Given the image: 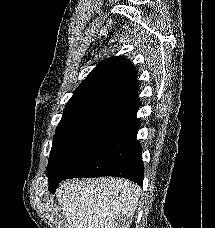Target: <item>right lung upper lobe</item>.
I'll return each instance as SVG.
<instances>
[{
	"instance_id": "1",
	"label": "right lung upper lobe",
	"mask_w": 215,
	"mask_h": 228,
	"mask_svg": "<svg viewBox=\"0 0 215 228\" xmlns=\"http://www.w3.org/2000/svg\"><path fill=\"white\" fill-rule=\"evenodd\" d=\"M138 98L137 70L125 57L99 63L75 90L63 111L56 132L92 121L135 124Z\"/></svg>"
}]
</instances>
